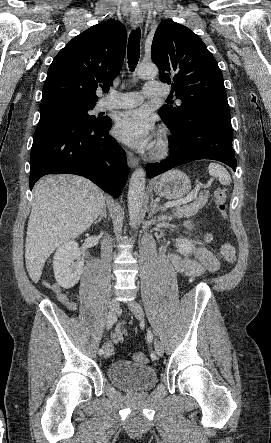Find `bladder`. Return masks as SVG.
I'll return each instance as SVG.
<instances>
[{"instance_id": "31cf9c89", "label": "bladder", "mask_w": 271, "mask_h": 443, "mask_svg": "<svg viewBox=\"0 0 271 443\" xmlns=\"http://www.w3.org/2000/svg\"><path fill=\"white\" fill-rule=\"evenodd\" d=\"M107 375L113 385L129 393L147 391L157 382L154 368L129 360L113 362L107 369Z\"/></svg>"}]
</instances>
